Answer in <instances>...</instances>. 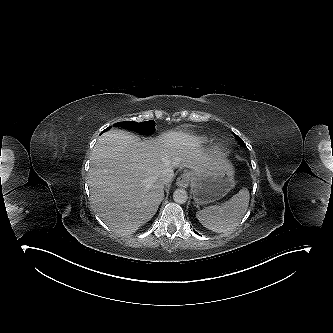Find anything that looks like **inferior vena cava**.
I'll list each match as a JSON object with an SVG mask.
<instances>
[{
  "instance_id": "602c4592",
  "label": "inferior vena cava",
  "mask_w": 333,
  "mask_h": 333,
  "mask_svg": "<svg viewBox=\"0 0 333 333\" xmlns=\"http://www.w3.org/2000/svg\"><path fill=\"white\" fill-rule=\"evenodd\" d=\"M174 176V172L172 168L166 167L163 168L161 170V173L159 175V180L163 183V184H167L169 182H171L172 178Z\"/></svg>"
}]
</instances>
